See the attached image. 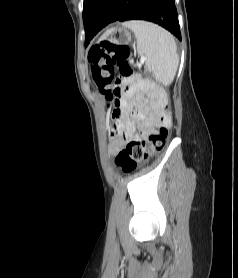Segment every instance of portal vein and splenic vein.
<instances>
[{"label":"portal vein and splenic vein","mask_w":238,"mask_h":278,"mask_svg":"<svg viewBox=\"0 0 238 278\" xmlns=\"http://www.w3.org/2000/svg\"><path fill=\"white\" fill-rule=\"evenodd\" d=\"M145 61V57H141L140 62H144Z\"/></svg>","instance_id":"portal-vein-and-splenic-vein-1"}]
</instances>
